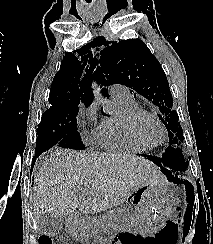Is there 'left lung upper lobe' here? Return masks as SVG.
<instances>
[{
    "label": "left lung upper lobe",
    "instance_id": "left-lung-upper-lobe-1",
    "mask_svg": "<svg viewBox=\"0 0 213 244\" xmlns=\"http://www.w3.org/2000/svg\"><path fill=\"white\" fill-rule=\"evenodd\" d=\"M110 43L100 52L98 72L101 83L106 86L114 83L125 85L159 108L161 115L158 116L169 134L170 145L166 150L172 156L174 172L182 177L188 160L182 149L173 145L183 142V130L177 112L172 109V94L159 61L139 39Z\"/></svg>",
    "mask_w": 213,
    "mask_h": 244
}]
</instances>
